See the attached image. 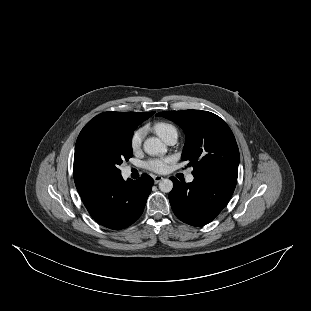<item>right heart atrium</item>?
Listing matches in <instances>:
<instances>
[{
	"label": "right heart atrium",
	"mask_w": 311,
	"mask_h": 311,
	"mask_svg": "<svg viewBox=\"0 0 311 311\" xmlns=\"http://www.w3.org/2000/svg\"><path fill=\"white\" fill-rule=\"evenodd\" d=\"M144 134L145 128H138L133 131L129 140V146L132 152H136L140 148Z\"/></svg>",
	"instance_id": "right-heart-atrium-1"
}]
</instances>
